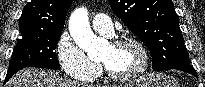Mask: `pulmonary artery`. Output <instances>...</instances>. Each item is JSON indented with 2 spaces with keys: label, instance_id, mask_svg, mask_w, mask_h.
<instances>
[{
  "label": "pulmonary artery",
  "instance_id": "obj_1",
  "mask_svg": "<svg viewBox=\"0 0 205 87\" xmlns=\"http://www.w3.org/2000/svg\"><path fill=\"white\" fill-rule=\"evenodd\" d=\"M92 27L95 31L110 36L113 34V23L111 18L105 13L96 14L91 21Z\"/></svg>",
  "mask_w": 205,
  "mask_h": 87
}]
</instances>
